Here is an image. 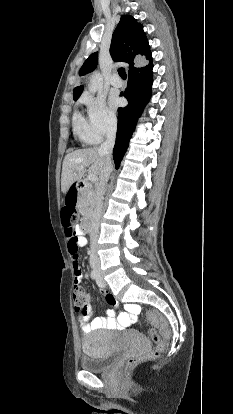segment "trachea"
<instances>
[{"label":"trachea","instance_id":"obj_1","mask_svg":"<svg viewBox=\"0 0 233 414\" xmlns=\"http://www.w3.org/2000/svg\"><path fill=\"white\" fill-rule=\"evenodd\" d=\"M118 73H119V76H120L122 79H126L127 75H126V72H125V69H124V68H119V69H118Z\"/></svg>","mask_w":233,"mask_h":414}]
</instances>
